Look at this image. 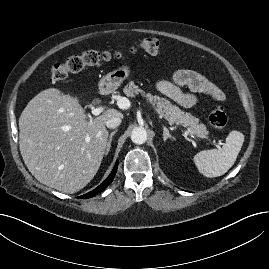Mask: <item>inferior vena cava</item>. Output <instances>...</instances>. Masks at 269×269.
<instances>
[{
	"instance_id": "obj_1",
	"label": "inferior vena cava",
	"mask_w": 269,
	"mask_h": 269,
	"mask_svg": "<svg viewBox=\"0 0 269 269\" xmlns=\"http://www.w3.org/2000/svg\"><path fill=\"white\" fill-rule=\"evenodd\" d=\"M120 124H121V117L119 116H113L109 118L106 122V126L111 129L117 128Z\"/></svg>"
}]
</instances>
